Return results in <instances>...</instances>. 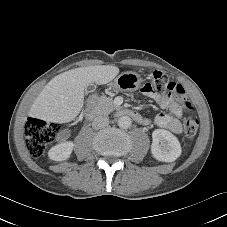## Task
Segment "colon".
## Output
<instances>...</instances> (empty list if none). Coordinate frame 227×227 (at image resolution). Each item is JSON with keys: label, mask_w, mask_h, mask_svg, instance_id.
I'll list each match as a JSON object with an SVG mask.
<instances>
[{"label": "colon", "mask_w": 227, "mask_h": 227, "mask_svg": "<svg viewBox=\"0 0 227 227\" xmlns=\"http://www.w3.org/2000/svg\"><path fill=\"white\" fill-rule=\"evenodd\" d=\"M149 82L159 90V95H163L165 91H172L179 96L181 103L186 109H192V104L187 99L182 86L171 82L165 73L154 71L150 75ZM198 129L199 120L196 117L190 116L185 119L184 134L188 139L194 138ZM24 133L29 154L33 158H38L43 155L47 144L52 142L59 135H62V129L60 125L56 123L29 118L25 125Z\"/></svg>", "instance_id": "1"}]
</instances>
